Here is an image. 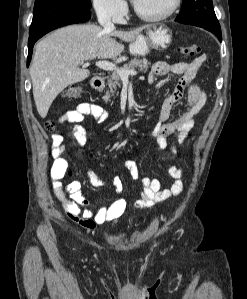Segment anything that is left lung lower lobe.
I'll return each instance as SVG.
<instances>
[{"label": "left lung lower lobe", "instance_id": "left-lung-lower-lobe-1", "mask_svg": "<svg viewBox=\"0 0 247 299\" xmlns=\"http://www.w3.org/2000/svg\"><path fill=\"white\" fill-rule=\"evenodd\" d=\"M175 21H177V20H175ZM177 22L182 23V24H189V25L202 27V28L214 33L217 36V38L219 39V41H222L220 25H213L203 19H197V18L183 19V20H178Z\"/></svg>", "mask_w": 247, "mask_h": 299}]
</instances>
